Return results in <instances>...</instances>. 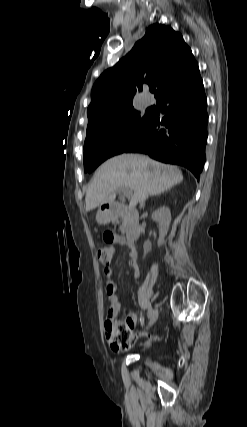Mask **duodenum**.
I'll return each mask as SVG.
<instances>
[{
  "mask_svg": "<svg viewBox=\"0 0 247 427\" xmlns=\"http://www.w3.org/2000/svg\"><path fill=\"white\" fill-rule=\"evenodd\" d=\"M104 212L109 218L123 217L126 223L124 241L128 246H133L140 236V223L138 212L127 205L117 201L107 202Z\"/></svg>",
  "mask_w": 247,
  "mask_h": 427,
  "instance_id": "duodenum-1",
  "label": "duodenum"
}]
</instances>
